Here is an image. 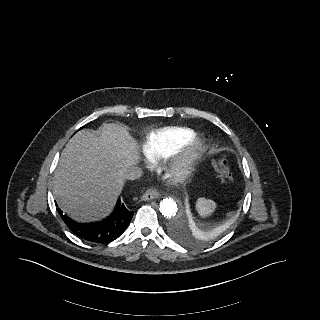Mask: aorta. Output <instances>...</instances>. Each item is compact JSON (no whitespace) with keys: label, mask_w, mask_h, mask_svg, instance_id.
<instances>
[{"label":"aorta","mask_w":320,"mask_h":320,"mask_svg":"<svg viewBox=\"0 0 320 320\" xmlns=\"http://www.w3.org/2000/svg\"><path fill=\"white\" fill-rule=\"evenodd\" d=\"M159 209L161 214L166 218H172L176 216L178 211V205L172 198H165L160 202ZM184 222L182 218H179L176 222V228L182 230L184 228Z\"/></svg>","instance_id":"obj_1"}]
</instances>
